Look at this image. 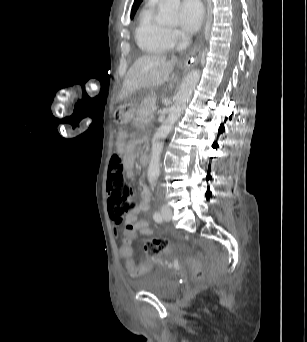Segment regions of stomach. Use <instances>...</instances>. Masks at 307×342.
<instances>
[{
    "label": "stomach",
    "instance_id": "stomach-1",
    "mask_svg": "<svg viewBox=\"0 0 307 342\" xmlns=\"http://www.w3.org/2000/svg\"><path fill=\"white\" fill-rule=\"evenodd\" d=\"M136 111L135 102H124L115 112V121L119 125H127L134 118Z\"/></svg>",
    "mask_w": 307,
    "mask_h": 342
}]
</instances>
